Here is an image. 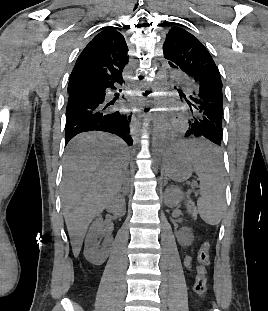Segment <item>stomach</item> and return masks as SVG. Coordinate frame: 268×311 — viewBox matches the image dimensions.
I'll return each instance as SVG.
<instances>
[{"label":"stomach","mask_w":268,"mask_h":311,"mask_svg":"<svg viewBox=\"0 0 268 311\" xmlns=\"http://www.w3.org/2000/svg\"><path fill=\"white\" fill-rule=\"evenodd\" d=\"M193 169L190 147L173 146L169 150L165 160V173L170 179L177 182L186 181L192 176Z\"/></svg>","instance_id":"1"}]
</instances>
